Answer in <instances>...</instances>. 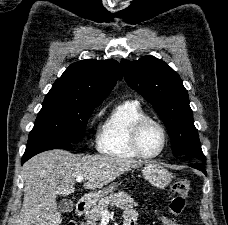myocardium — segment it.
<instances>
[{"mask_svg": "<svg viewBox=\"0 0 228 225\" xmlns=\"http://www.w3.org/2000/svg\"><path fill=\"white\" fill-rule=\"evenodd\" d=\"M150 124L155 125L159 128V130L161 131V134H162V138H163L162 147L159 150V152H157L155 154L146 153L143 150L142 145H141L142 133H143L144 129ZM131 143H132V147H133L134 151L140 157L145 158V159L158 158L164 153V151L167 147L168 133H167L165 126L159 120L154 119L152 117H145L135 123L133 130H132Z\"/></svg>", "mask_w": 228, "mask_h": 225, "instance_id": "obj_1", "label": "myocardium"}]
</instances>
